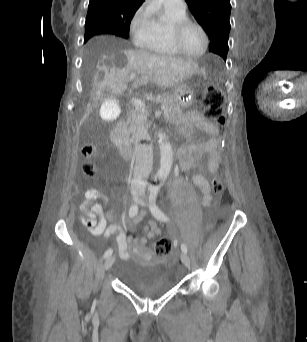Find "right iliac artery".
Instances as JSON below:
<instances>
[{
  "label": "right iliac artery",
  "mask_w": 307,
  "mask_h": 342,
  "mask_svg": "<svg viewBox=\"0 0 307 342\" xmlns=\"http://www.w3.org/2000/svg\"><path fill=\"white\" fill-rule=\"evenodd\" d=\"M138 213V206L136 204L132 205L129 209V216L130 217H134L135 215H137ZM113 253L112 249H108L105 253H104V258H108L109 256H111Z\"/></svg>",
  "instance_id": "82829eb1"
}]
</instances>
